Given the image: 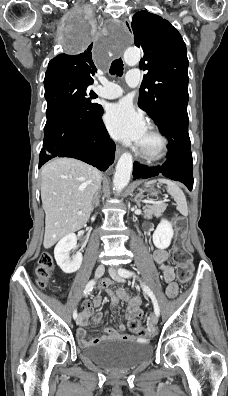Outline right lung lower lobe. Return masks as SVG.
<instances>
[{
	"label": "right lung lower lobe",
	"instance_id": "right-lung-lower-lobe-1",
	"mask_svg": "<svg viewBox=\"0 0 228 396\" xmlns=\"http://www.w3.org/2000/svg\"><path fill=\"white\" fill-rule=\"evenodd\" d=\"M102 114L100 106L93 118L62 116L47 122L39 168L52 158L71 157L106 171L114 161L115 144L109 138Z\"/></svg>",
	"mask_w": 228,
	"mask_h": 396
}]
</instances>
